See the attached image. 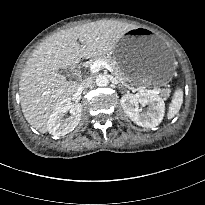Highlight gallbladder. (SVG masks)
Returning a JSON list of instances; mask_svg holds the SVG:
<instances>
[{
  "label": "gallbladder",
  "instance_id": "1",
  "mask_svg": "<svg viewBox=\"0 0 205 205\" xmlns=\"http://www.w3.org/2000/svg\"><path fill=\"white\" fill-rule=\"evenodd\" d=\"M58 71H59V73L68 76V73L64 69L61 68Z\"/></svg>",
  "mask_w": 205,
  "mask_h": 205
}]
</instances>
